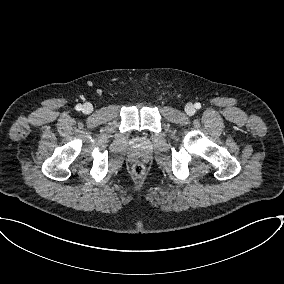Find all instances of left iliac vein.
Wrapping results in <instances>:
<instances>
[{"instance_id":"obj_1","label":"left iliac vein","mask_w":284,"mask_h":284,"mask_svg":"<svg viewBox=\"0 0 284 284\" xmlns=\"http://www.w3.org/2000/svg\"><path fill=\"white\" fill-rule=\"evenodd\" d=\"M185 111L188 115H193L195 113V107L189 103L185 106Z\"/></svg>"}]
</instances>
